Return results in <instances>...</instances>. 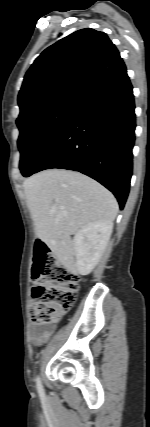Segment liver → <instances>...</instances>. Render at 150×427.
I'll return each instance as SVG.
<instances>
[{
    "instance_id": "6515ba94",
    "label": "liver",
    "mask_w": 150,
    "mask_h": 427,
    "mask_svg": "<svg viewBox=\"0 0 150 427\" xmlns=\"http://www.w3.org/2000/svg\"><path fill=\"white\" fill-rule=\"evenodd\" d=\"M35 234L67 267L73 266L70 236L94 222H113L118 203L113 194L79 172L48 169L23 183Z\"/></svg>"
}]
</instances>
